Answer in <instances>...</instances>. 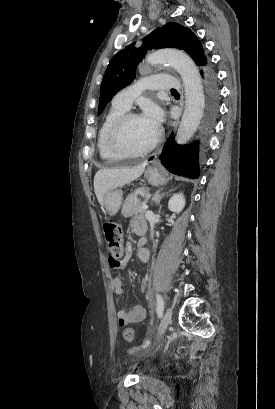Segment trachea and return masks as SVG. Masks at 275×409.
<instances>
[{"mask_svg": "<svg viewBox=\"0 0 275 409\" xmlns=\"http://www.w3.org/2000/svg\"><path fill=\"white\" fill-rule=\"evenodd\" d=\"M171 92H177V90H175L174 88L171 89Z\"/></svg>", "mask_w": 275, "mask_h": 409, "instance_id": "1", "label": "trachea"}]
</instances>
